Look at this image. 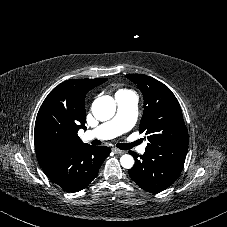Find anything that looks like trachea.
I'll return each instance as SVG.
<instances>
[{
  "label": "trachea",
  "mask_w": 227,
  "mask_h": 227,
  "mask_svg": "<svg viewBox=\"0 0 227 227\" xmlns=\"http://www.w3.org/2000/svg\"><path fill=\"white\" fill-rule=\"evenodd\" d=\"M92 143L95 144V145L100 144L99 141H97V140H94ZM135 145H137V142L126 143V144H117V147L120 148V149L126 150V149H130V148L134 147Z\"/></svg>",
  "instance_id": "trachea-1"
}]
</instances>
